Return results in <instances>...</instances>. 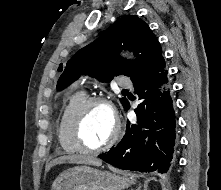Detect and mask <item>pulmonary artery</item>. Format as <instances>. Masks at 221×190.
<instances>
[{
    "label": "pulmonary artery",
    "mask_w": 221,
    "mask_h": 190,
    "mask_svg": "<svg viewBox=\"0 0 221 190\" xmlns=\"http://www.w3.org/2000/svg\"><path fill=\"white\" fill-rule=\"evenodd\" d=\"M117 86L121 88H129L132 86V82L128 77L120 76L117 80Z\"/></svg>",
    "instance_id": "pulmonary-artery-1"
}]
</instances>
